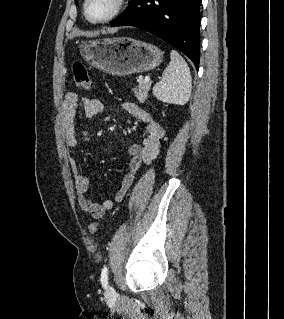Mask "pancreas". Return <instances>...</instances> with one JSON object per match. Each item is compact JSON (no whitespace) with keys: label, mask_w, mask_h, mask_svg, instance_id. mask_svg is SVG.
Listing matches in <instances>:
<instances>
[{"label":"pancreas","mask_w":284,"mask_h":319,"mask_svg":"<svg viewBox=\"0 0 284 319\" xmlns=\"http://www.w3.org/2000/svg\"><path fill=\"white\" fill-rule=\"evenodd\" d=\"M150 86V82L140 81L139 86L134 88V95L140 103H144V101L147 99Z\"/></svg>","instance_id":"pancreas-1"}]
</instances>
